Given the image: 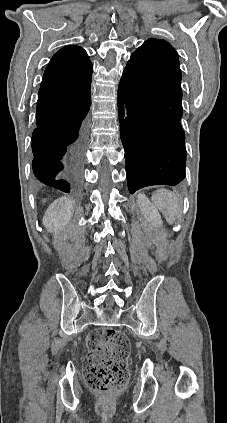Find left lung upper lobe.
Instances as JSON below:
<instances>
[{
    "mask_svg": "<svg viewBox=\"0 0 227 423\" xmlns=\"http://www.w3.org/2000/svg\"><path fill=\"white\" fill-rule=\"evenodd\" d=\"M122 77L150 88L156 104L164 110L183 111L178 54L165 40L150 38L145 41L131 55Z\"/></svg>",
    "mask_w": 227,
    "mask_h": 423,
    "instance_id": "1",
    "label": "left lung upper lobe"
}]
</instances>
